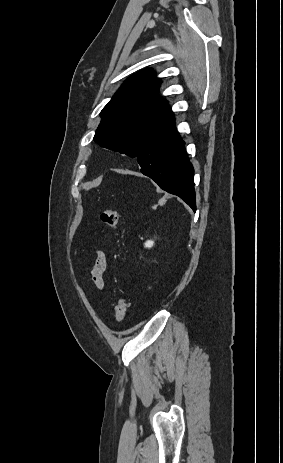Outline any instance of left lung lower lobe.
<instances>
[{"mask_svg": "<svg viewBox=\"0 0 283 463\" xmlns=\"http://www.w3.org/2000/svg\"><path fill=\"white\" fill-rule=\"evenodd\" d=\"M173 120L160 130L137 155L141 172L161 189L179 196L194 211V170L185 152V143Z\"/></svg>", "mask_w": 283, "mask_h": 463, "instance_id": "1", "label": "left lung lower lobe"}]
</instances>
